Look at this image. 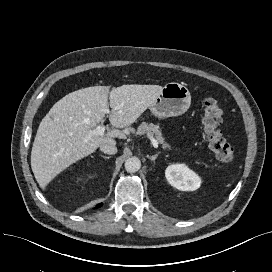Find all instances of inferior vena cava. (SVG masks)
<instances>
[{
	"mask_svg": "<svg viewBox=\"0 0 272 272\" xmlns=\"http://www.w3.org/2000/svg\"><path fill=\"white\" fill-rule=\"evenodd\" d=\"M100 150L106 154H116L117 147L115 143H105L100 146Z\"/></svg>",
	"mask_w": 272,
	"mask_h": 272,
	"instance_id": "inferior-vena-cava-1",
	"label": "inferior vena cava"
}]
</instances>
